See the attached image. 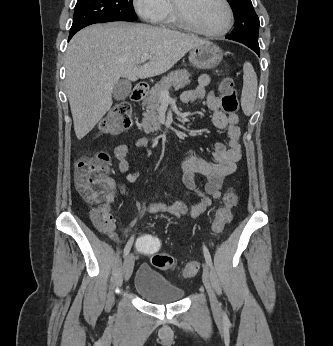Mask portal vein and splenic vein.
<instances>
[{
  "label": "portal vein and splenic vein",
  "instance_id": "1",
  "mask_svg": "<svg viewBox=\"0 0 333 346\" xmlns=\"http://www.w3.org/2000/svg\"><path fill=\"white\" fill-rule=\"evenodd\" d=\"M150 58H151V56L148 55V54L143 55L141 57L140 64L146 62ZM169 98H170V96H169V92L168 91H165V92H163L161 94V99L165 100V99H169Z\"/></svg>",
  "mask_w": 333,
  "mask_h": 346
}]
</instances>
